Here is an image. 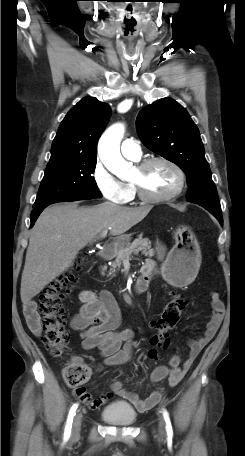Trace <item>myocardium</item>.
<instances>
[{
    "instance_id": "obj_1",
    "label": "myocardium",
    "mask_w": 245,
    "mask_h": 456,
    "mask_svg": "<svg viewBox=\"0 0 245 456\" xmlns=\"http://www.w3.org/2000/svg\"><path fill=\"white\" fill-rule=\"evenodd\" d=\"M155 163H164L170 166L177 174L178 176V185L175 188L174 191L171 193L164 195V196H154L150 195L144 188L143 184L139 181H134L132 180V185L138 195V197L145 202L148 203H162V202H167L170 200H173L177 198L184 190L185 184H186V176L182 168L175 163L174 161L166 158V157H152L145 159L141 161L140 163L137 164L136 169L140 172L143 173L146 171L150 166H152Z\"/></svg>"
}]
</instances>
